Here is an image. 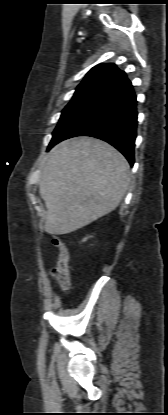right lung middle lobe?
<instances>
[{"label": "right lung middle lobe", "instance_id": "right-lung-middle-lobe-1", "mask_svg": "<svg viewBox=\"0 0 168 415\" xmlns=\"http://www.w3.org/2000/svg\"><path fill=\"white\" fill-rule=\"evenodd\" d=\"M99 94L92 92L75 93L69 104L62 111L57 127L53 132V136L62 128V126L81 108L96 98Z\"/></svg>", "mask_w": 168, "mask_h": 415}]
</instances>
